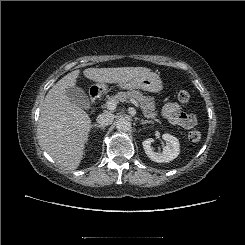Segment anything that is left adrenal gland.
<instances>
[{"instance_id": "1", "label": "left adrenal gland", "mask_w": 245, "mask_h": 245, "mask_svg": "<svg viewBox=\"0 0 245 245\" xmlns=\"http://www.w3.org/2000/svg\"><path fill=\"white\" fill-rule=\"evenodd\" d=\"M141 121V124L142 125H145V124H152L151 121H148V120H140Z\"/></svg>"}]
</instances>
